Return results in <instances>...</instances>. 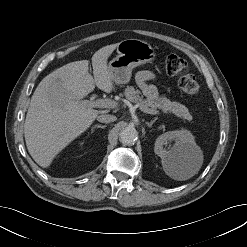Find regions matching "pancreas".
<instances>
[{
  "label": "pancreas",
  "instance_id": "pancreas-1",
  "mask_svg": "<svg viewBox=\"0 0 247 247\" xmlns=\"http://www.w3.org/2000/svg\"><path fill=\"white\" fill-rule=\"evenodd\" d=\"M124 96L127 100L133 103H140L151 110L160 109L164 113H173L182 119H186L188 121L192 120L191 114L184 105L179 102L170 101L165 96H160L156 99H144L141 92L133 86H127L125 88Z\"/></svg>",
  "mask_w": 247,
  "mask_h": 247
}]
</instances>
